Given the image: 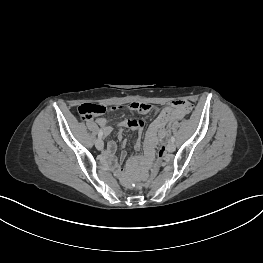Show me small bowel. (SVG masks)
<instances>
[{
	"label": "small bowel",
	"mask_w": 263,
	"mask_h": 263,
	"mask_svg": "<svg viewBox=\"0 0 263 263\" xmlns=\"http://www.w3.org/2000/svg\"><path fill=\"white\" fill-rule=\"evenodd\" d=\"M138 103V102H136ZM149 105V104H148ZM150 112H156V117L154 121L149 126V129L146 134L145 139V159L148 161L151 159V157H154L157 154V151L154 149L156 145L160 142H162L165 138V125L168 123H171L174 120L181 119L185 115V110L182 107H175L174 104H172L170 107H166L164 109H157L151 105ZM149 112V113H150ZM97 125L100 127V130H102L104 136H108L111 131L112 127L108 125L107 120L104 117H100L96 120ZM118 126L121 128H129L132 130H135L137 132H141L144 127V122L141 119H123L118 122ZM119 140L122 139V134L119 135ZM141 143L137 142L135 147L136 149L141 148ZM116 152V144L113 141L108 142L104 155L108 159H112L114 157V154ZM126 156V153L123 152L121 154V157L124 158ZM136 161L134 160L133 163ZM121 174L122 171H121Z\"/></svg>",
	"instance_id": "small-bowel-1"
}]
</instances>
